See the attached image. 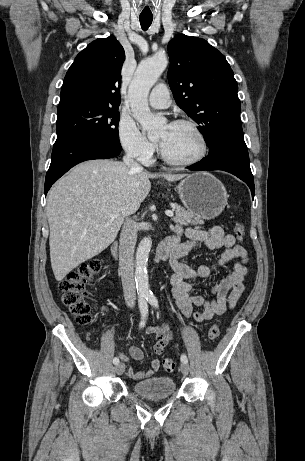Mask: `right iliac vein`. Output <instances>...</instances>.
<instances>
[{"instance_id":"1","label":"right iliac vein","mask_w":305,"mask_h":461,"mask_svg":"<svg viewBox=\"0 0 305 461\" xmlns=\"http://www.w3.org/2000/svg\"><path fill=\"white\" fill-rule=\"evenodd\" d=\"M115 370H116V373L118 375H121V374H123V372L125 370V365L123 363H119V364L116 365Z\"/></svg>"}]
</instances>
